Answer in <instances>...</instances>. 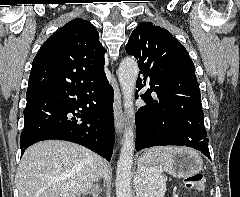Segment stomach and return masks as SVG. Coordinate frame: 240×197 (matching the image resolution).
Masks as SVG:
<instances>
[{
  "mask_svg": "<svg viewBox=\"0 0 240 197\" xmlns=\"http://www.w3.org/2000/svg\"><path fill=\"white\" fill-rule=\"evenodd\" d=\"M138 165L139 174L136 186L141 196H144L146 185L141 172L151 167L162 166L169 174L177 178L192 176L203 168V162L199 154L188 148H178V150L171 152L167 159L160 158L156 153L148 150L140 156Z\"/></svg>",
  "mask_w": 240,
  "mask_h": 197,
  "instance_id": "0dacf381",
  "label": "stomach"
}]
</instances>
